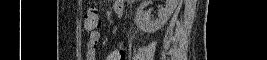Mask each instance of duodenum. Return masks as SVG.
<instances>
[{"mask_svg": "<svg viewBox=\"0 0 267 60\" xmlns=\"http://www.w3.org/2000/svg\"><path fill=\"white\" fill-rule=\"evenodd\" d=\"M116 12H117L118 15H122V13H123V8H122V7H117V8H116Z\"/></svg>", "mask_w": 267, "mask_h": 60, "instance_id": "1", "label": "duodenum"}]
</instances>
